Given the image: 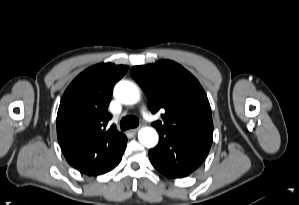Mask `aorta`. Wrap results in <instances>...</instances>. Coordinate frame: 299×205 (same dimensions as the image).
Wrapping results in <instances>:
<instances>
[{"instance_id":"obj_1","label":"aorta","mask_w":299,"mask_h":205,"mask_svg":"<svg viewBox=\"0 0 299 205\" xmlns=\"http://www.w3.org/2000/svg\"><path fill=\"white\" fill-rule=\"evenodd\" d=\"M114 95L125 104H135L139 101L138 88L129 81H120L114 88ZM158 133L154 128L144 127L138 133V139L145 147L152 148L158 143Z\"/></svg>"}]
</instances>
